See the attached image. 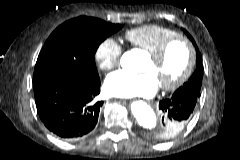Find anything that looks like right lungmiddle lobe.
<instances>
[{
  "mask_svg": "<svg viewBox=\"0 0 240 160\" xmlns=\"http://www.w3.org/2000/svg\"><path fill=\"white\" fill-rule=\"evenodd\" d=\"M121 28L120 24L85 16L63 23L45 42L35 65L33 83L50 76L81 83L98 78L93 55L101 42Z\"/></svg>",
  "mask_w": 240,
  "mask_h": 160,
  "instance_id": "obj_1",
  "label": "right lung middle lobe"
}]
</instances>
